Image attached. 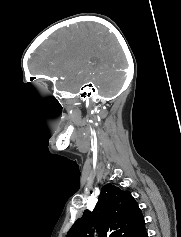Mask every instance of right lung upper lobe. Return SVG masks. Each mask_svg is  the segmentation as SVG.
<instances>
[{
  "instance_id": "right-lung-upper-lobe-1",
  "label": "right lung upper lobe",
  "mask_w": 181,
  "mask_h": 237,
  "mask_svg": "<svg viewBox=\"0 0 181 237\" xmlns=\"http://www.w3.org/2000/svg\"><path fill=\"white\" fill-rule=\"evenodd\" d=\"M95 227L99 237H142L146 232L144 217L129 191L106 184L102 187L93 210H85L66 237H93Z\"/></svg>"
}]
</instances>
